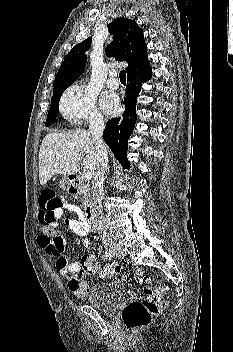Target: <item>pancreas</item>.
Returning a JSON list of instances; mask_svg holds the SVG:
<instances>
[{
	"label": "pancreas",
	"instance_id": "cf45deb5",
	"mask_svg": "<svg viewBox=\"0 0 233 352\" xmlns=\"http://www.w3.org/2000/svg\"><path fill=\"white\" fill-rule=\"evenodd\" d=\"M82 194H83V196L81 199V207L83 209H86L89 205L90 198H89V195L85 191H83Z\"/></svg>",
	"mask_w": 233,
	"mask_h": 352
}]
</instances>
